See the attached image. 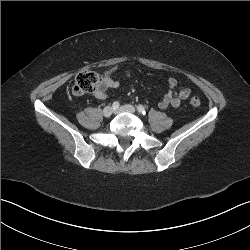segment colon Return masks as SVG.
Segmentation results:
<instances>
[{
	"label": "colon",
	"instance_id": "5ec220e1",
	"mask_svg": "<svg viewBox=\"0 0 250 250\" xmlns=\"http://www.w3.org/2000/svg\"><path fill=\"white\" fill-rule=\"evenodd\" d=\"M100 84L101 77L98 73L91 70H85L76 75L72 91L76 95L93 93ZM190 103L194 107H199L201 105L200 99L196 96L191 98Z\"/></svg>",
	"mask_w": 250,
	"mask_h": 250
}]
</instances>
